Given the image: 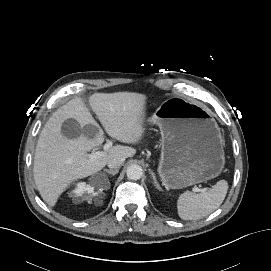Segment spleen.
Segmentation results:
<instances>
[{
    "label": "spleen",
    "instance_id": "1",
    "mask_svg": "<svg viewBox=\"0 0 271 271\" xmlns=\"http://www.w3.org/2000/svg\"><path fill=\"white\" fill-rule=\"evenodd\" d=\"M228 191L225 180L218 181L208 192L196 194L182 193L177 201L178 215L183 220H198L206 217L223 203Z\"/></svg>",
    "mask_w": 271,
    "mask_h": 271
}]
</instances>
